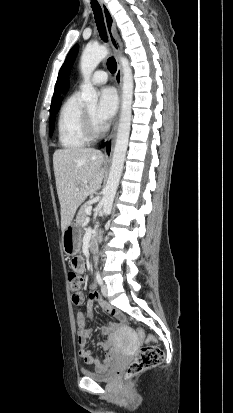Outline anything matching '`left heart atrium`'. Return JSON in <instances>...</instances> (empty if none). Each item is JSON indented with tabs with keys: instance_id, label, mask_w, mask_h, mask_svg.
<instances>
[{
	"instance_id": "39dd6f15",
	"label": "left heart atrium",
	"mask_w": 233,
	"mask_h": 413,
	"mask_svg": "<svg viewBox=\"0 0 233 413\" xmlns=\"http://www.w3.org/2000/svg\"><path fill=\"white\" fill-rule=\"evenodd\" d=\"M118 108V97L115 90L105 87L101 90L100 101L96 111V120L99 124H105L113 118Z\"/></svg>"
}]
</instances>
